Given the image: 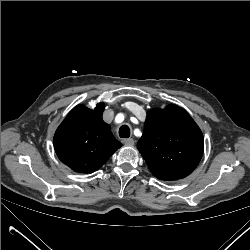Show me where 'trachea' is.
<instances>
[{"label": "trachea", "mask_w": 250, "mask_h": 250, "mask_svg": "<svg viewBox=\"0 0 250 250\" xmlns=\"http://www.w3.org/2000/svg\"><path fill=\"white\" fill-rule=\"evenodd\" d=\"M119 136L121 138H128L130 136V128L127 125H123L119 129Z\"/></svg>", "instance_id": "3493384b"}]
</instances>
